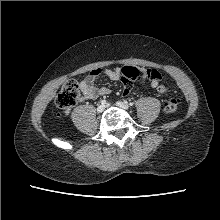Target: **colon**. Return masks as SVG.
Segmentation results:
<instances>
[{
	"label": "colon",
	"mask_w": 220,
	"mask_h": 220,
	"mask_svg": "<svg viewBox=\"0 0 220 220\" xmlns=\"http://www.w3.org/2000/svg\"><path fill=\"white\" fill-rule=\"evenodd\" d=\"M139 70L136 67L126 66L121 70L120 78L124 85L123 93L127 94L132 89L134 83L139 77ZM147 76L151 80H160L161 75L157 70L148 69ZM159 93H166L168 87L162 84H159L157 87ZM80 98V89L77 81L68 80L61 88L58 93L55 103L56 106L64 111L71 109ZM178 108V102L175 99L168 100L164 105V112L166 114H173Z\"/></svg>",
	"instance_id": "5ec220e1"
}]
</instances>
